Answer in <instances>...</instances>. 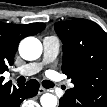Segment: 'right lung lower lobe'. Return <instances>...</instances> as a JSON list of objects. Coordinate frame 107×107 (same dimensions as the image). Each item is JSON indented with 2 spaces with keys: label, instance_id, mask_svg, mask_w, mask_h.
<instances>
[{
  "label": "right lung lower lobe",
  "instance_id": "1",
  "mask_svg": "<svg viewBox=\"0 0 107 107\" xmlns=\"http://www.w3.org/2000/svg\"><path fill=\"white\" fill-rule=\"evenodd\" d=\"M39 83L36 80H30L26 85L12 86L9 81L0 86V107H19L21 102L38 93Z\"/></svg>",
  "mask_w": 107,
  "mask_h": 107
}]
</instances>
